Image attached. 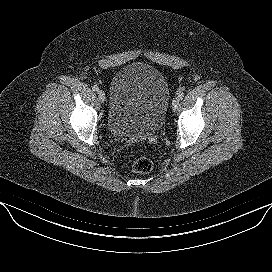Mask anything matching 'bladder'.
I'll return each instance as SVG.
<instances>
[{"label":"bladder","instance_id":"31cf9c89","mask_svg":"<svg viewBox=\"0 0 272 272\" xmlns=\"http://www.w3.org/2000/svg\"><path fill=\"white\" fill-rule=\"evenodd\" d=\"M170 101L164 74L146 63L122 67L110 85L107 128L117 137L148 138L163 126Z\"/></svg>","mask_w":272,"mask_h":272}]
</instances>
